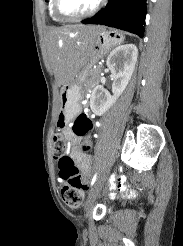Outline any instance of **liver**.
<instances>
[{"label": "liver", "instance_id": "obj_1", "mask_svg": "<svg viewBox=\"0 0 183 246\" xmlns=\"http://www.w3.org/2000/svg\"><path fill=\"white\" fill-rule=\"evenodd\" d=\"M101 28L69 25L48 31L46 40L49 58L59 84L69 83L88 61L94 39Z\"/></svg>", "mask_w": 183, "mask_h": 246}]
</instances>
